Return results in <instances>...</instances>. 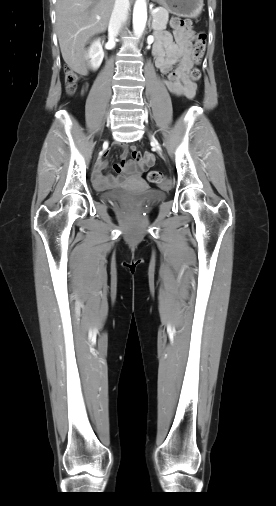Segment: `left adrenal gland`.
Here are the masks:
<instances>
[{"instance_id": "1", "label": "left adrenal gland", "mask_w": 276, "mask_h": 506, "mask_svg": "<svg viewBox=\"0 0 276 506\" xmlns=\"http://www.w3.org/2000/svg\"><path fill=\"white\" fill-rule=\"evenodd\" d=\"M148 26H149V31L151 32V16L149 18Z\"/></svg>"}]
</instances>
